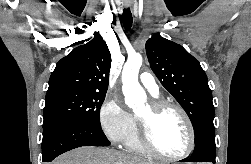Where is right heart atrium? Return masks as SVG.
I'll list each match as a JSON object with an SVG mask.
<instances>
[{
	"instance_id": "obj_1",
	"label": "right heart atrium",
	"mask_w": 251,
	"mask_h": 164,
	"mask_svg": "<svg viewBox=\"0 0 251 164\" xmlns=\"http://www.w3.org/2000/svg\"><path fill=\"white\" fill-rule=\"evenodd\" d=\"M99 122L105 136L114 143L125 142L134 127L133 116L114 98L101 106Z\"/></svg>"
}]
</instances>
